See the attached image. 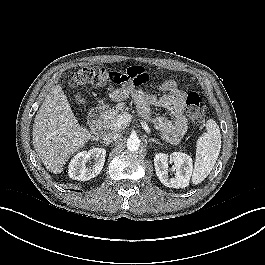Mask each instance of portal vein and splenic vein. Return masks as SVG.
Masks as SVG:
<instances>
[{
	"label": "portal vein and splenic vein",
	"mask_w": 265,
	"mask_h": 265,
	"mask_svg": "<svg viewBox=\"0 0 265 265\" xmlns=\"http://www.w3.org/2000/svg\"><path fill=\"white\" fill-rule=\"evenodd\" d=\"M132 119V115L130 114H122L118 120H117V123H116V127H121L123 125H126L128 122H130ZM141 125L143 127V129L148 133L150 134L151 133V129L149 128L148 124H146L145 122H141Z\"/></svg>",
	"instance_id": "1"
}]
</instances>
